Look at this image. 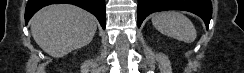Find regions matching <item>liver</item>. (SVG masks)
I'll return each instance as SVG.
<instances>
[{
	"mask_svg": "<svg viewBox=\"0 0 244 73\" xmlns=\"http://www.w3.org/2000/svg\"><path fill=\"white\" fill-rule=\"evenodd\" d=\"M30 23L36 43L54 58L86 46L97 30V21L92 14L64 3L42 8Z\"/></svg>",
	"mask_w": 244,
	"mask_h": 73,
	"instance_id": "1",
	"label": "liver"
}]
</instances>
